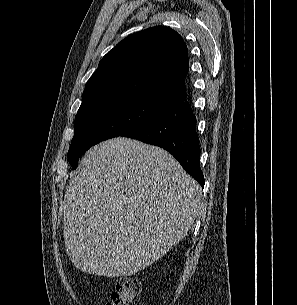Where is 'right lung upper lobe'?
I'll list each match as a JSON object with an SVG mask.
<instances>
[{
  "instance_id": "right-lung-upper-lobe-1",
  "label": "right lung upper lobe",
  "mask_w": 297,
  "mask_h": 305,
  "mask_svg": "<svg viewBox=\"0 0 297 305\" xmlns=\"http://www.w3.org/2000/svg\"><path fill=\"white\" fill-rule=\"evenodd\" d=\"M187 46L171 28L155 26L126 37L100 61L88 80L80 108L125 95L174 104L186 99Z\"/></svg>"
}]
</instances>
